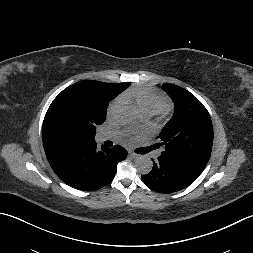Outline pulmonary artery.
Masks as SVG:
<instances>
[{
	"mask_svg": "<svg viewBox=\"0 0 253 253\" xmlns=\"http://www.w3.org/2000/svg\"><path fill=\"white\" fill-rule=\"evenodd\" d=\"M151 116V114H148V113H144L143 114V117L144 118H149ZM111 139V135L107 134V133H101L97 136V140L99 142H104V141H107V140H110Z\"/></svg>",
	"mask_w": 253,
	"mask_h": 253,
	"instance_id": "e3ab8cb5",
	"label": "pulmonary artery"
}]
</instances>
